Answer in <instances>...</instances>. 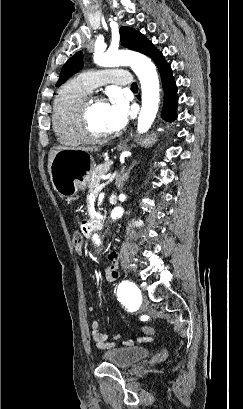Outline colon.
Listing matches in <instances>:
<instances>
[{
    "label": "colon",
    "mask_w": 243,
    "mask_h": 409,
    "mask_svg": "<svg viewBox=\"0 0 243 409\" xmlns=\"http://www.w3.org/2000/svg\"><path fill=\"white\" fill-rule=\"evenodd\" d=\"M72 242H73V246L75 251L78 254L82 253V249H83V236L80 232L76 231L73 233L72 236ZM142 332L145 335H152L154 333V329L151 326L145 325L142 327Z\"/></svg>",
    "instance_id": "obj_1"
}]
</instances>
